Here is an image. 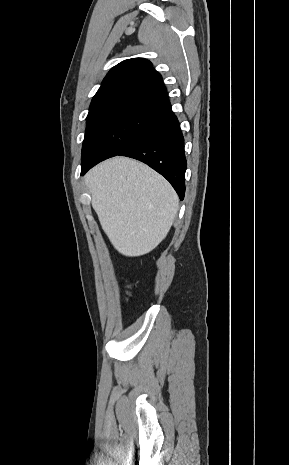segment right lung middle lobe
Listing matches in <instances>:
<instances>
[{
	"instance_id": "dd1d6c3e",
	"label": "right lung middle lobe",
	"mask_w": 289,
	"mask_h": 465,
	"mask_svg": "<svg viewBox=\"0 0 289 465\" xmlns=\"http://www.w3.org/2000/svg\"><path fill=\"white\" fill-rule=\"evenodd\" d=\"M164 111L163 105L120 103L87 117L82 162L116 156Z\"/></svg>"
}]
</instances>
